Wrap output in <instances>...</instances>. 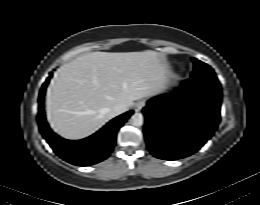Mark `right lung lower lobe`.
Instances as JSON below:
<instances>
[{
  "label": "right lung lower lobe",
  "instance_id": "right-lung-lower-lobe-1",
  "mask_svg": "<svg viewBox=\"0 0 260 205\" xmlns=\"http://www.w3.org/2000/svg\"><path fill=\"white\" fill-rule=\"evenodd\" d=\"M52 73H50V77ZM50 77L39 93V129L42 136L49 143L53 151L63 160L77 166H90L106 159L113 150L117 131L127 121L133 111H128L107 123L92 136L77 140H65L49 128L44 114V95Z\"/></svg>",
  "mask_w": 260,
  "mask_h": 205
}]
</instances>
